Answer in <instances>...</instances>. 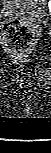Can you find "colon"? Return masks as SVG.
Wrapping results in <instances>:
<instances>
[{"label":"colon","instance_id":"1","mask_svg":"<svg viewBox=\"0 0 51 153\" xmlns=\"http://www.w3.org/2000/svg\"><path fill=\"white\" fill-rule=\"evenodd\" d=\"M3 41L10 52L22 55L34 44L33 30L19 20L7 22L3 27Z\"/></svg>","mask_w":51,"mask_h":153}]
</instances>
